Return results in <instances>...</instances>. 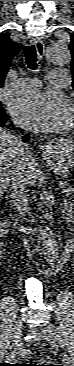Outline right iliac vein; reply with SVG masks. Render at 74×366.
I'll return each instance as SVG.
<instances>
[{
	"label": "right iliac vein",
	"mask_w": 74,
	"mask_h": 366,
	"mask_svg": "<svg viewBox=\"0 0 74 366\" xmlns=\"http://www.w3.org/2000/svg\"><path fill=\"white\" fill-rule=\"evenodd\" d=\"M21 331H22V322L21 320L17 319L13 325V341L15 343L14 345H16L14 350H16L17 347L19 346L18 343L20 341ZM12 354L15 355L17 354V352L13 351Z\"/></svg>",
	"instance_id": "obj_1"
}]
</instances>
